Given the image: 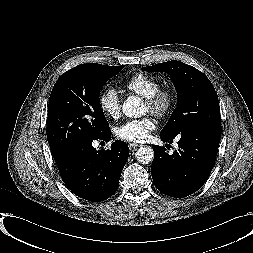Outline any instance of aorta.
I'll return each mask as SVG.
<instances>
[{"label": "aorta", "mask_w": 253, "mask_h": 253, "mask_svg": "<svg viewBox=\"0 0 253 253\" xmlns=\"http://www.w3.org/2000/svg\"><path fill=\"white\" fill-rule=\"evenodd\" d=\"M143 103L140 98L130 96L122 105V112L130 118H137L143 114ZM137 160L143 164H148L153 160L154 151L149 146H141L135 153Z\"/></svg>", "instance_id": "obj_1"}]
</instances>
